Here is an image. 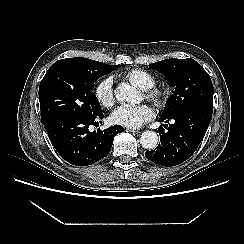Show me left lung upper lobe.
I'll use <instances>...</instances> for the list:
<instances>
[{
    "label": "left lung upper lobe",
    "mask_w": 244,
    "mask_h": 244,
    "mask_svg": "<svg viewBox=\"0 0 244 244\" xmlns=\"http://www.w3.org/2000/svg\"><path fill=\"white\" fill-rule=\"evenodd\" d=\"M165 75L175 88L168 98L161 117H169L191 106L213 108V85L204 68L193 59L171 58L149 64Z\"/></svg>",
    "instance_id": "obj_1"
}]
</instances>
